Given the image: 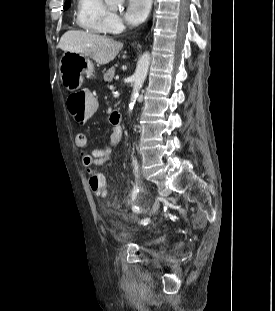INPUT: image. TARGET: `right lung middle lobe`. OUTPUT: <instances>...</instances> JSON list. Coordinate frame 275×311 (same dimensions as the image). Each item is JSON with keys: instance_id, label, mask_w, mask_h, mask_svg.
Here are the masks:
<instances>
[{"instance_id": "right-lung-middle-lobe-1", "label": "right lung middle lobe", "mask_w": 275, "mask_h": 311, "mask_svg": "<svg viewBox=\"0 0 275 311\" xmlns=\"http://www.w3.org/2000/svg\"><path fill=\"white\" fill-rule=\"evenodd\" d=\"M69 2L65 5L64 10H66L69 7Z\"/></svg>"}]
</instances>
